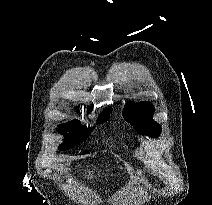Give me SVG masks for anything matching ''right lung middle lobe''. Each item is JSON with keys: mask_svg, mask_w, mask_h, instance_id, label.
Instances as JSON below:
<instances>
[{"mask_svg": "<svg viewBox=\"0 0 212 205\" xmlns=\"http://www.w3.org/2000/svg\"><path fill=\"white\" fill-rule=\"evenodd\" d=\"M112 109H105L100 116L98 117V121L104 122L107 121ZM58 131L66 136L64 142L59 146L60 150H66L72 148L79 144V142H83L88 138V134L91 133V128H86L82 126L77 120H72L66 124L58 125ZM67 131H71V134H67Z\"/></svg>", "mask_w": 212, "mask_h": 205, "instance_id": "obj_1", "label": "right lung middle lobe"}]
</instances>
